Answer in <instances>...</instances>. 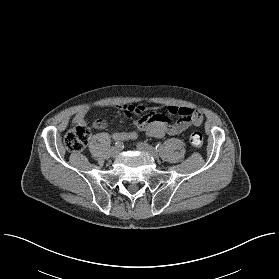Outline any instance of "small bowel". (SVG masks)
Masks as SVG:
<instances>
[{
	"instance_id": "c3829d8e",
	"label": "small bowel",
	"mask_w": 279,
	"mask_h": 279,
	"mask_svg": "<svg viewBox=\"0 0 279 279\" xmlns=\"http://www.w3.org/2000/svg\"><path fill=\"white\" fill-rule=\"evenodd\" d=\"M123 114L133 119L139 115L135 121L137 131L146 132L154 137H162L164 135H176L184 132L191 126H198L202 123V114L194 109L186 107L168 106L165 112L151 111L145 106L123 105L120 107ZM88 108L80 110L72 119L74 125L86 123V115ZM176 115L177 119L170 122L171 116ZM96 129H104L106 121L96 119L93 122ZM137 131H123L113 134V138L119 141L135 140L138 136Z\"/></svg>"
}]
</instances>
